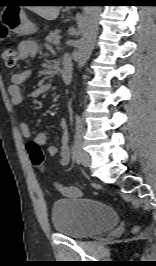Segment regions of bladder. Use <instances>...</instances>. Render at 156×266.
Masks as SVG:
<instances>
[{
	"mask_svg": "<svg viewBox=\"0 0 156 266\" xmlns=\"http://www.w3.org/2000/svg\"><path fill=\"white\" fill-rule=\"evenodd\" d=\"M116 211L92 199L71 198L56 201L52 206V225L62 235L84 239L111 229L118 223Z\"/></svg>",
	"mask_w": 156,
	"mask_h": 266,
	"instance_id": "31cf9c89",
	"label": "bladder"
}]
</instances>
